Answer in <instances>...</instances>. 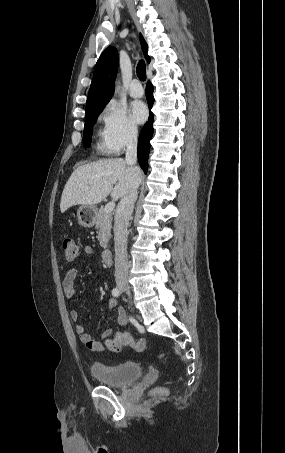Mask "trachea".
Returning a JSON list of instances; mask_svg holds the SVG:
<instances>
[{
    "label": "trachea",
    "mask_w": 285,
    "mask_h": 453,
    "mask_svg": "<svg viewBox=\"0 0 285 453\" xmlns=\"http://www.w3.org/2000/svg\"><path fill=\"white\" fill-rule=\"evenodd\" d=\"M136 72H137L138 78L141 81H145L146 80V66H145V62L143 60H141L138 63Z\"/></svg>",
    "instance_id": "3493384b"
}]
</instances>
